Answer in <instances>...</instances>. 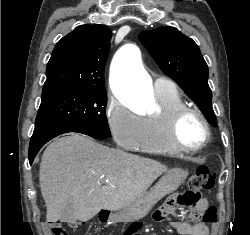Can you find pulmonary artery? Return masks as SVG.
I'll use <instances>...</instances> for the list:
<instances>
[{
  "label": "pulmonary artery",
  "instance_id": "e3ab8cb5",
  "mask_svg": "<svg viewBox=\"0 0 250 235\" xmlns=\"http://www.w3.org/2000/svg\"><path fill=\"white\" fill-rule=\"evenodd\" d=\"M154 89L156 91H170L175 89V85L166 78L158 77L154 81Z\"/></svg>",
  "mask_w": 250,
  "mask_h": 235
}]
</instances>
